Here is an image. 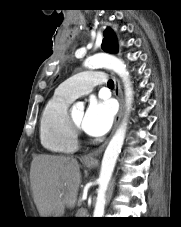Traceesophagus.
Here are the masks:
<instances>
[{
    "mask_svg": "<svg viewBox=\"0 0 181 227\" xmlns=\"http://www.w3.org/2000/svg\"><path fill=\"white\" fill-rule=\"evenodd\" d=\"M113 77H114V83H115L114 95L116 96V98L119 101V111H118V114L115 118V123H114V127H113V130H112L111 136L114 134L116 128L118 127V124L120 122V119H121L122 114H123V109H124L123 93H122L120 81L116 76H113ZM108 141H109V139L106 140L98 149H96V150L86 154L85 156H83L82 160L84 162L95 161L96 157L104 151Z\"/></svg>",
    "mask_w": 181,
    "mask_h": 227,
    "instance_id": "esophagus-1",
    "label": "esophagus"
}]
</instances>
